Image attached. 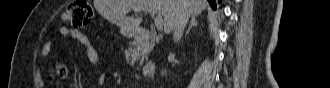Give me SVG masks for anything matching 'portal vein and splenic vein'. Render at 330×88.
I'll list each match as a JSON object with an SVG mask.
<instances>
[{"instance_id": "portal-vein-and-splenic-vein-1", "label": "portal vein and splenic vein", "mask_w": 330, "mask_h": 88, "mask_svg": "<svg viewBox=\"0 0 330 88\" xmlns=\"http://www.w3.org/2000/svg\"><path fill=\"white\" fill-rule=\"evenodd\" d=\"M133 10H134V12H138V11H141L142 9L134 8ZM143 11H148L151 14V16L156 15V18H155V21H154L155 27L158 31H161L162 28H163V19L160 15H158L157 10H155V9H146V10H143Z\"/></svg>"}]
</instances>
